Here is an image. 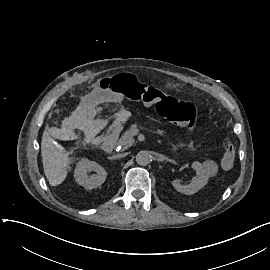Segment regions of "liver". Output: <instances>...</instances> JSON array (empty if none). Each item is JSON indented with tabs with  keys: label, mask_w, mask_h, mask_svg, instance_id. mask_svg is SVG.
Listing matches in <instances>:
<instances>
[{
	"label": "liver",
	"mask_w": 270,
	"mask_h": 270,
	"mask_svg": "<svg viewBox=\"0 0 270 270\" xmlns=\"http://www.w3.org/2000/svg\"><path fill=\"white\" fill-rule=\"evenodd\" d=\"M70 151L62 145L55 144L48 130H44L41 142V158L45 176L53 187L62 184L68 176L67 168L75 161L70 158Z\"/></svg>",
	"instance_id": "obj_1"
}]
</instances>
